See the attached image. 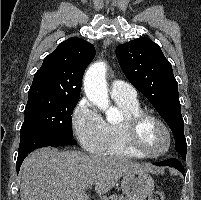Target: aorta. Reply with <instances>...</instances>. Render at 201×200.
I'll return each mask as SVG.
<instances>
[{
    "label": "aorta",
    "mask_w": 201,
    "mask_h": 200,
    "mask_svg": "<svg viewBox=\"0 0 201 200\" xmlns=\"http://www.w3.org/2000/svg\"><path fill=\"white\" fill-rule=\"evenodd\" d=\"M84 91L87 98L104 111L108 119L116 112L109 105L105 62H96L88 68L84 76Z\"/></svg>",
    "instance_id": "obj_1"
}]
</instances>
